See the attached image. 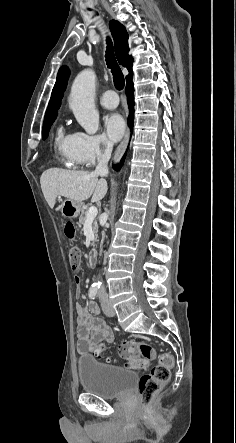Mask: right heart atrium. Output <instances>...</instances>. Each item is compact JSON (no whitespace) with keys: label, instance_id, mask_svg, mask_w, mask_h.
I'll return each mask as SVG.
<instances>
[{"label":"right heart atrium","instance_id":"right-heart-atrium-1","mask_svg":"<svg viewBox=\"0 0 236 443\" xmlns=\"http://www.w3.org/2000/svg\"><path fill=\"white\" fill-rule=\"evenodd\" d=\"M105 150L106 144L100 137L81 131L73 134V153L81 165H94Z\"/></svg>","mask_w":236,"mask_h":443}]
</instances>
